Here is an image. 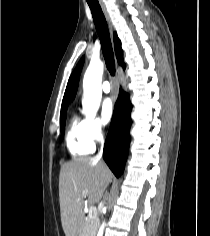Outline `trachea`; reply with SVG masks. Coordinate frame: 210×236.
Listing matches in <instances>:
<instances>
[{
	"label": "trachea",
	"mask_w": 210,
	"mask_h": 236,
	"mask_svg": "<svg viewBox=\"0 0 210 236\" xmlns=\"http://www.w3.org/2000/svg\"><path fill=\"white\" fill-rule=\"evenodd\" d=\"M94 24L101 42L106 67L111 75H115V60L106 19L97 0H87Z\"/></svg>",
	"instance_id": "obj_1"
}]
</instances>
